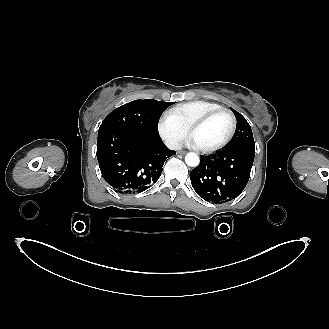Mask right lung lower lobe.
Segmentation results:
<instances>
[{
  "mask_svg": "<svg viewBox=\"0 0 329 329\" xmlns=\"http://www.w3.org/2000/svg\"><path fill=\"white\" fill-rule=\"evenodd\" d=\"M168 149L159 135L141 130L104 128L98 132L97 159L103 178L121 194L140 193L162 173Z\"/></svg>",
  "mask_w": 329,
  "mask_h": 329,
  "instance_id": "98d812e1",
  "label": "right lung lower lobe"
}]
</instances>
